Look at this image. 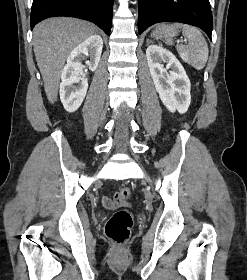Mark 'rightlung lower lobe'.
I'll list each match as a JSON object with an SVG mask.
<instances>
[{"label": "right lung lower lobe", "instance_id": "1", "mask_svg": "<svg viewBox=\"0 0 247 280\" xmlns=\"http://www.w3.org/2000/svg\"><path fill=\"white\" fill-rule=\"evenodd\" d=\"M114 0H33L31 29L43 19L70 16L92 21L110 34Z\"/></svg>", "mask_w": 247, "mask_h": 280}]
</instances>
